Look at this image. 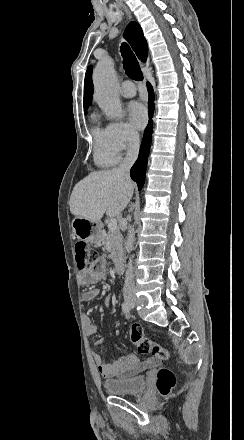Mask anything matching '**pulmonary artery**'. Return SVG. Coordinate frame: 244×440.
Masks as SVG:
<instances>
[{
    "mask_svg": "<svg viewBox=\"0 0 244 440\" xmlns=\"http://www.w3.org/2000/svg\"><path fill=\"white\" fill-rule=\"evenodd\" d=\"M125 88H126L125 90L120 91L122 96H124L126 98H131V97L135 96L136 89H135L133 83H131V82L126 83Z\"/></svg>",
    "mask_w": 244,
    "mask_h": 440,
    "instance_id": "1",
    "label": "pulmonary artery"
}]
</instances>
